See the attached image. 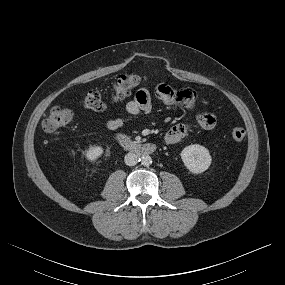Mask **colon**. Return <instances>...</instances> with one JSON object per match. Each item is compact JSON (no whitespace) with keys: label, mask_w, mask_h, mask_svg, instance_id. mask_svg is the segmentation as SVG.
<instances>
[{"label":"colon","mask_w":285,"mask_h":285,"mask_svg":"<svg viewBox=\"0 0 285 285\" xmlns=\"http://www.w3.org/2000/svg\"><path fill=\"white\" fill-rule=\"evenodd\" d=\"M143 82V77L135 73H125L120 75L111 85L109 93L92 89L89 90L81 100L82 105L90 110L102 111L111 102L120 101L129 95ZM73 110L65 107H53L49 110L42 121V128L48 133L70 124L74 120ZM246 135L245 129L236 126L231 129L230 136L235 142H241Z\"/></svg>","instance_id":"colon-1"}]
</instances>
